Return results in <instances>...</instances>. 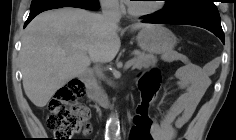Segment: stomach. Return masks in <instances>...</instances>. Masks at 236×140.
<instances>
[{
	"label": "stomach",
	"instance_id": "1",
	"mask_svg": "<svg viewBox=\"0 0 236 140\" xmlns=\"http://www.w3.org/2000/svg\"><path fill=\"white\" fill-rule=\"evenodd\" d=\"M137 41L144 51L153 54H166L174 49L176 37L162 25H151L138 33Z\"/></svg>",
	"mask_w": 236,
	"mask_h": 140
}]
</instances>
